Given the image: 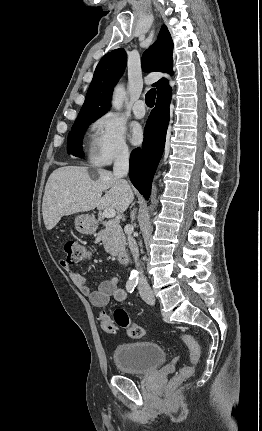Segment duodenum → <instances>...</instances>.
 Listing matches in <instances>:
<instances>
[{"mask_svg":"<svg viewBox=\"0 0 262 431\" xmlns=\"http://www.w3.org/2000/svg\"><path fill=\"white\" fill-rule=\"evenodd\" d=\"M130 260L129 254L125 251L117 254V261L119 264H127Z\"/></svg>","mask_w":262,"mask_h":431,"instance_id":"410a0bca","label":"duodenum"}]
</instances>
